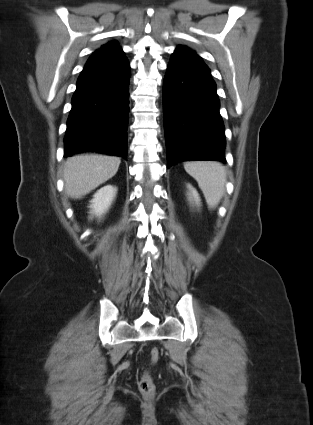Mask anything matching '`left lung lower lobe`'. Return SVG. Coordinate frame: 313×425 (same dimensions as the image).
Here are the masks:
<instances>
[{
    "instance_id": "obj_1",
    "label": "left lung lower lobe",
    "mask_w": 313,
    "mask_h": 425,
    "mask_svg": "<svg viewBox=\"0 0 313 425\" xmlns=\"http://www.w3.org/2000/svg\"><path fill=\"white\" fill-rule=\"evenodd\" d=\"M219 107L216 84L206 64L174 53L163 86L168 167L183 161L226 162Z\"/></svg>"
}]
</instances>
